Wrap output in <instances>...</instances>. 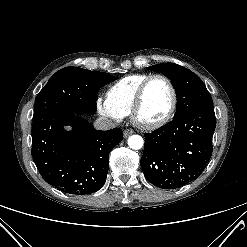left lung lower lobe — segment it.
Segmentation results:
<instances>
[{
  "mask_svg": "<svg viewBox=\"0 0 247 247\" xmlns=\"http://www.w3.org/2000/svg\"><path fill=\"white\" fill-rule=\"evenodd\" d=\"M215 126L214 109L198 108L146 133L140 161L146 179L163 189H176L195 180L213 152Z\"/></svg>",
  "mask_w": 247,
  "mask_h": 247,
  "instance_id": "left-lung-lower-lobe-1",
  "label": "left lung lower lobe"
}]
</instances>
